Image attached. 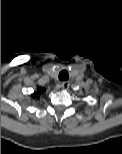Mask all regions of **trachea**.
Wrapping results in <instances>:
<instances>
[{
  "label": "trachea",
  "mask_w": 122,
  "mask_h": 154,
  "mask_svg": "<svg viewBox=\"0 0 122 154\" xmlns=\"http://www.w3.org/2000/svg\"><path fill=\"white\" fill-rule=\"evenodd\" d=\"M69 79V74L66 70H62L60 73H59V80L60 81H67Z\"/></svg>",
  "instance_id": "3493384b"
}]
</instances>
